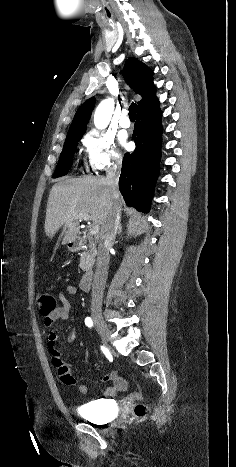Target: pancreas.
<instances>
[{
	"label": "pancreas",
	"instance_id": "pancreas-1",
	"mask_svg": "<svg viewBox=\"0 0 236 467\" xmlns=\"http://www.w3.org/2000/svg\"><path fill=\"white\" fill-rule=\"evenodd\" d=\"M95 256H96V248L93 244L92 239L89 237V245L88 247L85 248L84 252L81 254L79 267L83 271L87 272L94 264Z\"/></svg>",
	"mask_w": 236,
	"mask_h": 467
}]
</instances>
